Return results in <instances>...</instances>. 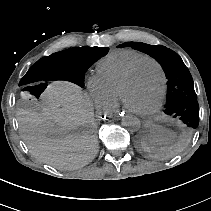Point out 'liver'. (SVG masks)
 Returning <instances> with one entry per match:
<instances>
[{
  "instance_id": "1",
  "label": "liver",
  "mask_w": 211,
  "mask_h": 211,
  "mask_svg": "<svg viewBox=\"0 0 211 211\" xmlns=\"http://www.w3.org/2000/svg\"><path fill=\"white\" fill-rule=\"evenodd\" d=\"M44 94V104L16 113L29 150L39 160L60 169L89 163L98 151L91 103L79 87L68 82H53Z\"/></svg>"
}]
</instances>
